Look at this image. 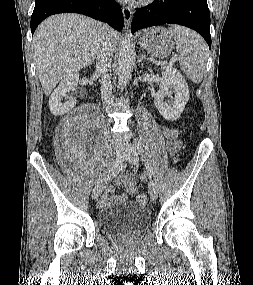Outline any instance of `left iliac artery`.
Wrapping results in <instances>:
<instances>
[{"label":"left iliac artery","mask_w":253,"mask_h":285,"mask_svg":"<svg viewBox=\"0 0 253 285\" xmlns=\"http://www.w3.org/2000/svg\"><path fill=\"white\" fill-rule=\"evenodd\" d=\"M134 145H135L136 149L138 150V152H139L142 156H144L143 145H142L141 141H140L138 138H134ZM146 168H147L148 175H149L150 177H152V175H153V167L150 165V163H148V161H147V166H146Z\"/></svg>","instance_id":"left-iliac-artery-1"}]
</instances>
